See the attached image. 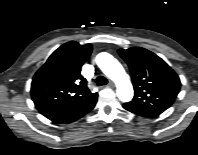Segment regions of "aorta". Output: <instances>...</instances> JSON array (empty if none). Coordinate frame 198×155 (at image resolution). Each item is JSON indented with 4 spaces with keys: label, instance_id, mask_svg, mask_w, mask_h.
I'll list each match as a JSON object with an SVG mask.
<instances>
[{
    "label": "aorta",
    "instance_id": "aorta-1",
    "mask_svg": "<svg viewBox=\"0 0 198 155\" xmlns=\"http://www.w3.org/2000/svg\"><path fill=\"white\" fill-rule=\"evenodd\" d=\"M96 64L116 84L119 100L129 102L133 98L134 91L123 66L107 52L99 53L96 56Z\"/></svg>",
    "mask_w": 198,
    "mask_h": 155
}]
</instances>
